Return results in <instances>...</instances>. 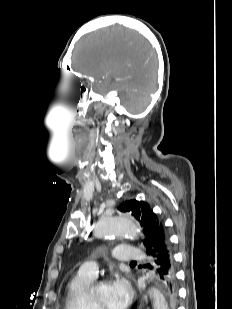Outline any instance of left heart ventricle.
Wrapping results in <instances>:
<instances>
[{"label":"left heart ventricle","mask_w":232,"mask_h":309,"mask_svg":"<svg viewBox=\"0 0 232 309\" xmlns=\"http://www.w3.org/2000/svg\"><path fill=\"white\" fill-rule=\"evenodd\" d=\"M94 296L106 309H119V306L114 301L111 283H102L94 292Z\"/></svg>","instance_id":"1"}]
</instances>
